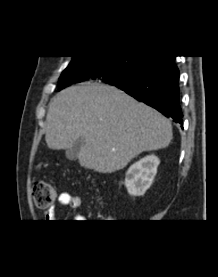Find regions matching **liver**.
<instances>
[{
    "label": "liver",
    "instance_id": "obj_1",
    "mask_svg": "<svg viewBox=\"0 0 218 277\" xmlns=\"http://www.w3.org/2000/svg\"><path fill=\"white\" fill-rule=\"evenodd\" d=\"M45 140L50 149L70 148L82 137V167L100 173L124 168L144 151L166 148L172 139L168 119L117 89L88 82L53 97L46 116Z\"/></svg>",
    "mask_w": 218,
    "mask_h": 277
}]
</instances>
